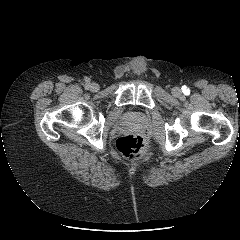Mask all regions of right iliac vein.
<instances>
[{
  "mask_svg": "<svg viewBox=\"0 0 240 240\" xmlns=\"http://www.w3.org/2000/svg\"><path fill=\"white\" fill-rule=\"evenodd\" d=\"M89 88H90V90H91L92 92H97V91H99V89H100V87H99V85H98L97 83H91V84L89 85Z\"/></svg>",
  "mask_w": 240,
  "mask_h": 240,
  "instance_id": "right-iliac-vein-1",
  "label": "right iliac vein"
}]
</instances>
